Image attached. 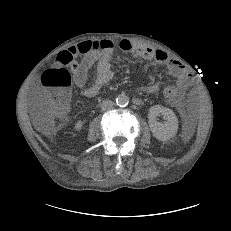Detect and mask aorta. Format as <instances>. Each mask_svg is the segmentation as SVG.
I'll use <instances>...</instances> for the list:
<instances>
[{"label":"aorta","instance_id":"1","mask_svg":"<svg viewBox=\"0 0 231 231\" xmlns=\"http://www.w3.org/2000/svg\"><path fill=\"white\" fill-rule=\"evenodd\" d=\"M128 103H129V97L126 94L122 93L117 96L116 104L118 106L124 107L128 105Z\"/></svg>","mask_w":231,"mask_h":231}]
</instances>
